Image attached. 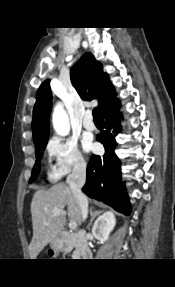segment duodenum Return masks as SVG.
Listing matches in <instances>:
<instances>
[{"mask_svg": "<svg viewBox=\"0 0 175 287\" xmlns=\"http://www.w3.org/2000/svg\"><path fill=\"white\" fill-rule=\"evenodd\" d=\"M88 234L86 231L80 230L77 232L63 231L59 237V244L62 250L68 251L71 246L77 248L80 258L89 259L92 256V251L88 246Z\"/></svg>", "mask_w": 175, "mask_h": 287, "instance_id": "duodenum-1", "label": "duodenum"}]
</instances>
